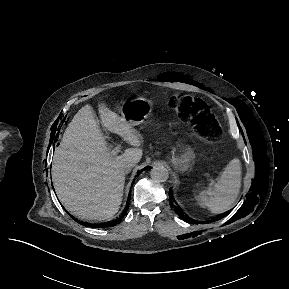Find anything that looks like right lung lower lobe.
Masks as SVG:
<instances>
[{"label":"right lung lower lobe","instance_id":"obj_1","mask_svg":"<svg viewBox=\"0 0 289 289\" xmlns=\"http://www.w3.org/2000/svg\"><path fill=\"white\" fill-rule=\"evenodd\" d=\"M131 195V193H130ZM129 200H130V196H129V199H128V203H127V206L125 208V210L123 211L122 215L117 218L116 220H113V221H110V222H105V223H101V224H88V223H83L79 220H77L76 218H74L73 216H71L74 220H76L78 223L84 225V226H88V227H93V228H102V227H110V226H114L116 224H119L121 222V219L124 217L126 211H127V208L129 206Z\"/></svg>","mask_w":289,"mask_h":289}]
</instances>
